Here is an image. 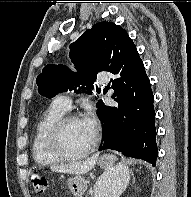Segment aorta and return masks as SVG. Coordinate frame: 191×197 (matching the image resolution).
I'll use <instances>...</instances> for the list:
<instances>
[{"instance_id":"762f6f07","label":"aorta","mask_w":191,"mask_h":197,"mask_svg":"<svg viewBox=\"0 0 191 197\" xmlns=\"http://www.w3.org/2000/svg\"><path fill=\"white\" fill-rule=\"evenodd\" d=\"M107 176H109V178H110V175L109 174H107ZM102 182H103V179L99 180L98 183H97V187H98L99 190L96 192V196L97 195L98 196H101V194H102L101 191H100Z\"/></svg>"}]
</instances>
